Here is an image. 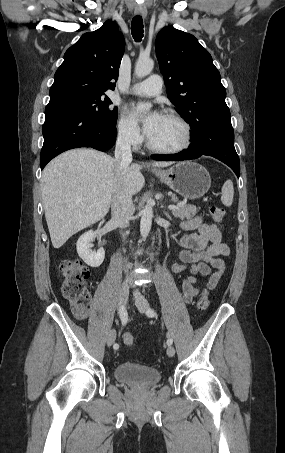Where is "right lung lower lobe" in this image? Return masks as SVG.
Here are the masks:
<instances>
[{
    "instance_id": "right-lung-lower-lobe-1",
    "label": "right lung lower lobe",
    "mask_w": 285,
    "mask_h": 453,
    "mask_svg": "<svg viewBox=\"0 0 285 453\" xmlns=\"http://www.w3.org/2000/svg\"><path fill=\"white\" fill-rule=\"evenodd\" d=\"M115 125H100L73 102L62 97L50 98L42 128L41 169L55 156L69 149L91 147L106 151L112 148L117 134Z\"/></svg>"
}]
</instances>
